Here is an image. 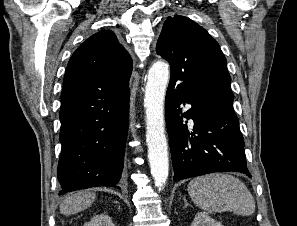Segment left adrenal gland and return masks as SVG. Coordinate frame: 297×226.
I'll use <instances>...</instances> for the list:
<instances>
[{
	"mask_svg": "<svg viewBox=\"0 0 297 226\" xmlns=\"http://www.w3.org/2000/svg\"><path fill=\"white\" fill-rule=\"evenodd\" d=\"M184 202H185V206H188L189 204L187 203L186 198L184 197Z\"/></svg>",
	"mask_w": 297,
	"mask_h": 226,
	"instance_id": "a2214340",
	"label": "left adrenal gland"
}]
</instances>
